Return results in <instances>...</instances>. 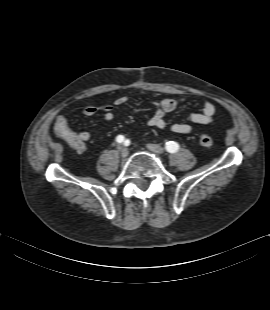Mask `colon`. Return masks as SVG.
Segmentation results:
<instances>
[{
    "label": "colon",
    "instance_id": "1",
    "mask_svg": "<svg viewBox=\"0 0 270 310\" xmlns=\"http://www.w3.org/2000/svg\"><path fill=\"white\" fill-rule=\"evenodd\" d=\"M55 129L57 133L64 138L71 146L75 149H80L82 143L79 139V136L70 129L68 124L61 119H58L55 124ZM199 143L202 147H210L214 143V139L211 135L203 133L199 136Z\"/></svg>",
    "mask_w": 270,
    "mask_h": 310
}]
</instances>
